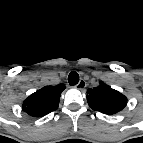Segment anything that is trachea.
Returning <instances> with one entry per match:
<instances>
[{
  "instance_id": "1",
  "label": "trachea",
  "mask_w": 143,
  "mask_h": 143,
  "mask_svg": "<svg viewBox=\"0 0 143 143\" xmlns=\"http://www.w3.org/2000/svg\"><path fill=\"white\" fill-rule=\"evenodd\" d=\"M68 82L71 86L78 84L79 82V75L76 71H72L68 76Z\"/></svg>"
}]
</instances>
